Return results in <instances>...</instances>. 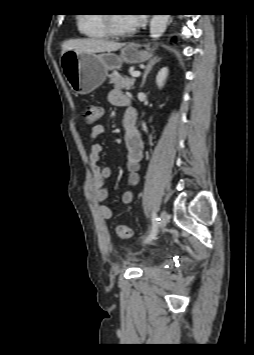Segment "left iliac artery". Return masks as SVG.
Instances as JSON below:
<instances>
[{
    "mask_svg": "<svg viewBox=\"0 0 254 355\" xmlns=\"http://www.w3.org/2000/svg\"><path fill=\"white\" fill-rule=\"evenodd\" d=\"M161 219L157 217V215L153 212L152 213V229L150 234L144 239L143 243H150L153 239H155L157 232H158V225Z\"/></svg>",
    "mask_w": 254,
    "mask_h": 355,
    "instance_id": "obj_1",
    "label": "left iliac artery"
}]
</instances>
